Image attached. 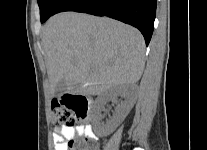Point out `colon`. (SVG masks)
I'll list each match as a JSON object with an SVG mask.
<instances>
[{"label":"colon","instance_id":"colon-1","mask_svg":"<svg viewBox=\"0 0 207 150\" xmlns=\"http://www.w3.org/2000/svg\"><path fill=\"white\" fill-rule=\"evenodd\" d=\"M87 100L74 95H68V100L53 99L51 103L52 123L56 126H74L85 120L87 116ZM66 150H94L88 149L73 140L67 142Z\"/></svg>","mask_w":207,"mask_h":150}]
</instances>
